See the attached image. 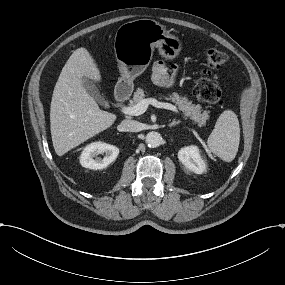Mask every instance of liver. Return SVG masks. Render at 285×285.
I'll return each instance as SVG.
<instances>
[{"instance_id":"1","label":"liver","mask_w":285,"mask_h":285,"mask_svg":"<svg viewBox=\"0 0 285 285\" xmlns=\"http://www.w3.org/2000/svg\"><path fill=\"white\" fill-rule=\"evenodd\" d=\"M87 81L100 84L103 77L94 56L80 47L67 60L53 91L51 136L59 157L110 128L117 119L99 108Z\"/></svg>"}]
</instances>
